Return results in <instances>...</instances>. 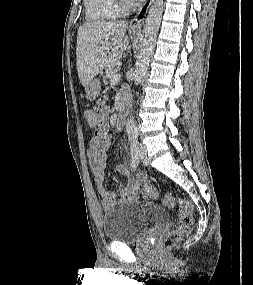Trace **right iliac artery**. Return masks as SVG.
Returning <instances> with one entry per match:
<instances>
[{"instance_id": "82829eb1", "label": "right iliac artery", "mask_w": 253, "mask_h": 285, "mask_svg": "<svg viewBox=\"0 0 253 285\" xmlns=\"http://www.w3.org/2000/svg\"><path fill=\"white\" fill-rule=\"evenodd\" d=\"M131 143V167L132 169H136L139 164V158L137 155V140L136 137H130Z\"/></svg>"}]
</instances>
